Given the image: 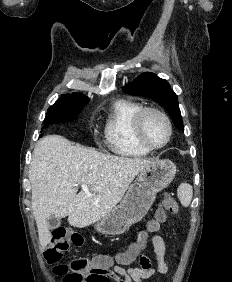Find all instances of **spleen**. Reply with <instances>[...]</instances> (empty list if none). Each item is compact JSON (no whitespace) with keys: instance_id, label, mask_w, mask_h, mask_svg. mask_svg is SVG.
<instances>
[{"instance_id":"obj_1","label":"spleen","mask_w":232,"mask_h":282,"mask_svg":"<svg viewBox=\"0 0 232 282\" xmlns=\"http://www.w3.org/2000/svg\"><path fill=\"white\" fill-rule=\"evenodd\" d=\"M177 196L184 207H188L193 197L192 186L188 183H182L177 190Z\"/></svg>"}]
</instances>
